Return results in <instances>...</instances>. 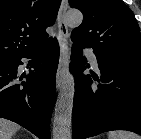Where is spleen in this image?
<instances>
[{
	"instance_id": "obj_1",
	"label": "spleen",
	"mask_w": 141,
	"mask_h": 139,
	"mask_svg": "<svg viewBox=\"0 0 141 139\" xmlns=\"http://www.w3.org/2000/svg\"><path fill=\"white\" fill-rule=\"evenodd\" d=\"M108 139H141V137L132 132L112 131L108 133Z\"/></svg>"
}]
</instances>
